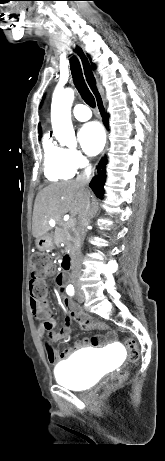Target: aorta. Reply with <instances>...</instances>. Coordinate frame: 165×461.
Segmentation results:
<instances>
[{
  "label": "aorta",
  "mask_w": 165,
  "mask_h": 461,
  "mask_svg": "<svg viewBox=\"0 0 165 461\" xmlns=\"http://www.w3.org/2000/svg\"><path fill=\"white\" fill-rule=\"evenodd\" d=\"M74 91L71 88L57 90L53 93L51 104V123L55 137L61 145L75 148L77 141L71 121V106Z\"/></svg>",
  "instance_id": "aorta-1"
}]
</instances>
